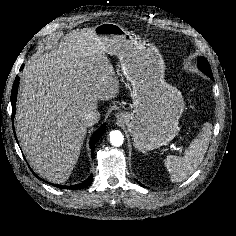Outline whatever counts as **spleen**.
<instances>
[{
  "mask_svg": "<svg viewBox=\"0 0 236 236\" xmlns=\"http://www.w3.org/2000/svg\"><path fill=\"white\" fill-rule=\"evenodd\" d=\"M211 124L206 123L203 132L195 138L184 156H167L165 165L171 175L172 182H181L195 172L204 159L212 135Z\"/></svg>",
  "mask_w": 236,
  "mask_h": 236,
  "instance_id": "3e777b00",
  "label": "spleen"
}]
</instances>
